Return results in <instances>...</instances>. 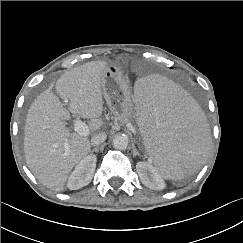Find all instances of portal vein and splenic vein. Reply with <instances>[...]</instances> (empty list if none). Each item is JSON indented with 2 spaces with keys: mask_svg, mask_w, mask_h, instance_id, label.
I'll return each instance as SVG.
<instances>
[{
  "mask_svg": "<svg viewBox=\"0 0 243 243\" xmlns=\"http://www.w3.org/2000/svg\"><path fill=\"white\" fill-rule=\"evenodd\" d=\"M74 130L82 136H88L89 133H90L88 126L84 122H82L81 120H77L75 122ZM65 148L68 149L67 143L65 144Z\"/></svg>",
  "mask_w": 243,
  "mask_h": 243,
  "instance_id": "portal-vein-and-splenic-vein-1",
  "label": "portal vein and splenic vein"
}]
</instances>
